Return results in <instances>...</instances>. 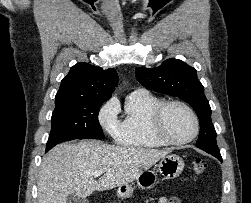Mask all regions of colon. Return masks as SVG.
Returning <instances> with one entry per match:
<instances>
[{
	"instance_id": "colon-1",
	"label": "colon",
	"mask_w": 251,
	"mask_h": 203,
	"mask_svg": "<svg viewBox=\"0 0 251 203\" xmlns=\"http://www.w3.org/2000/svg\"><path fill=\"white\" fill-rule=\"evenodd\" d=\"M206 169H207V163L203 159L197 158L194 160L193 170L195 171V173L202 174L206 171Z\"/></svg>"
}]
</instances>
